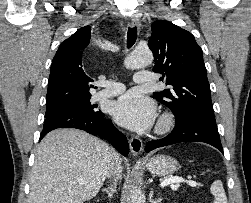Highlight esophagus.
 I'll return each instance as SVG.
<instances>
[{
	"mask_svg": "<svg viewBox=\"0 0 251 203\" xmlns=\"http://www.w3.org/2000/svg\"><path fill=\"white\" fill-rule=\"evenodd\" d=\"M131 26L132 27H140V21L137 17L133 16L131 20ZM130 145V151L133 156H138L140 155L142 148H143V143L142 140L138 137H131L129 141Z\"/></svg>",
	"mask_w": 251,
	"mask_h": 203,
	"instance_id": "1",
	"label": "esophagus"
}]
</instances>
